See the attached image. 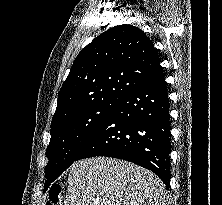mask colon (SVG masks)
Wrapping results in <instances>:
<instances>
[{"label":"colon","mask_w":222,"mask_h":205,"mask_svg":"<svg viewBox=\"0 0 222 205\" xmlns=\"http://www.w3.org/2000/svg\"><path fill=\"white\" fill-rule=\"evenodd\" d=\"M63 193V188L60 185L53 186L46 201V205H60Z\"/></svg>","instance_id":"5ec220e1"}]
</instances>
